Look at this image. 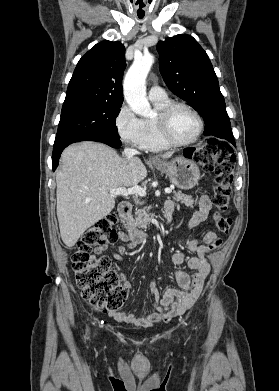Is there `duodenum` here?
Segmentation results:
<instances>
[{"mask_svg": "<svg viewBox=\"0 0 279 391\" xmlns=\"http://www.w3.org/2000/svg\"><path fill=\"white\" fill-rule=\"evenodd\" d=\"M131 204L127 201L121 202L118 206V214L123 224H128L131 218ZM163 217L166 221H170L172 217V209L164 208ZM146 239V234L141 231H132L131 240L134 244L140 243Z\"/></svg>", "mask_w": 279, "mask_h": 391, "instance_id": "obj_1", "label": "duodenum"}]
</instances>
